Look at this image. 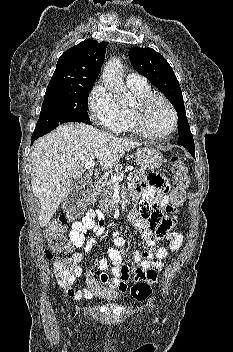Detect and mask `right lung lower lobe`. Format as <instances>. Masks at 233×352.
<instances>
[{
	"label": "right lung lower lobe",
	"instance_id": "obj_1",
	"mask_svg": "<svg viewBox=\"0 0 233 352\" xmlns=\"http://www.w3.org/2000/svg\"><path fill=\"white\" fill-rule=\"evenodd\" d=\"M66 122H84L87 124H91L90 120H85V119H71V120H67V121H62L59 123H55L52 124L50 126L47 127H43V128H39V129H35L32 137H31V145L35 142V140L47 133H49L50 131H52L53 129H55L59 124L61 123H66Z\"/></svg>",
	"mask_w": 233,
	"mask_h": 352
}]
</instances>
